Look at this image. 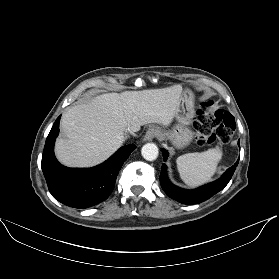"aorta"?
<instances>
[{"mask_svg":"<svg viewBox=\"0 0 279 279\" xmlns=\"http://www.w3.org/2000/svg\"><path fill=\"white\" fill-rule=\"evenodd\" d=\"M141 154L145 160L153 161L158 157V147L154 143H147L142 147Z\"/></svg>","mask_w":279,"mask_h":279,"instance_id":"obj_1","label":"aorta"}]
</instances>
